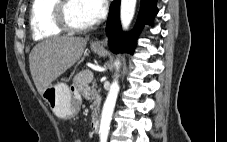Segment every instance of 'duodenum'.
I'll return each instance as SVG.
<instances>
[{
    "label": "duodenum",
    "instance_id": "410a0bca",
    "mask_svg": "<svg viewBox=\"0 0 227 142\" xmlns=\"http://www.w3.org/2000/svg\"><path fill=\"white\" fill-rule=\"evenodd\" d=\"M100 121L97 117L93 118L90 124V129L93 133H97L99 130Z\"/></svg>",
    "mask_w": 227,
    "mask_h": 142
}]
</instances>
